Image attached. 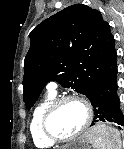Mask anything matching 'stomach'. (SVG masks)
Returning a JSON list of instances; mask_svg holds the SVG:
<instances>
[{
  "label": "stomach",
  "mask_w": 124,
  "mask_h": 149,
  "mask_svg": "<svg viewBox=\"0 0 124 149\" xmlns=\"http://www.w3.org/2000/svg\"><path fill=\"white\" fill-rule=\"evenodd\" d=\"M101 126L103 125H97L93 127L90 131H88L85 135H83L78 141L68 145L64 149H90L89 145L92 144L90 141V138L96 133V128Z\"/></svg>",
  "instance_id": "1"
}]
</instances>
